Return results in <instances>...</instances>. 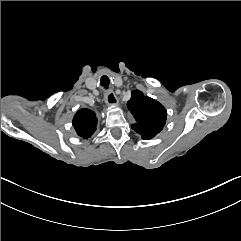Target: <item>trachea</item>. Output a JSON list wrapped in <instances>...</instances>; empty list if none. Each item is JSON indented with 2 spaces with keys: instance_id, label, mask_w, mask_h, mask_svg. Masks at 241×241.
<instances>
[{
  "instance_id": "3493384b",
  "label": "trachea",
  "mask_w": 241,
  "mask_h": 241,
  "mask_svg": "<svg viewBox=\"0 0 241 241\" xmlns=\"http://www.w3.org/2000/svg\"><path fill=\"white\" fill-rule=\"evenodd\" d=\"M101 85L104 86L106 90L109 89V78L107 76H102Z\"/></svg>"
}]
</instances>
